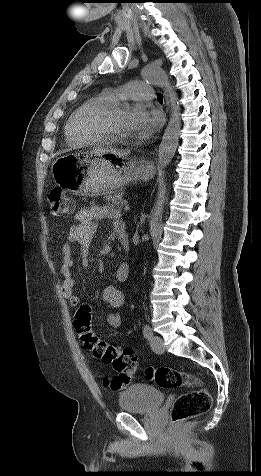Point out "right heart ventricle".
<instances>
[{"label": "right heart ventricle", "mask_w": 261, "mask_h": 476, "mask_svg": "<svg viewBox=\"0 0 261 476\" xmlns=\"http://www.w3.org/2000/svg\"><path fill=\"white\" fill-rule=\"evenodd\" d=\"M115 101L109 93H100L81 103L69 115L65 125V137L69 145L84 147L104 142L101 138L88 132L83 124V119L88 110L94 106Z\"/></svg>", "instance_id": "right-heart-ventricle-1"}]
</instances>
